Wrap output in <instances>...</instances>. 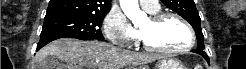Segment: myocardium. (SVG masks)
Returning a JSON list of instances; mask_svg holds the SVG:
<instances>
[{
    "mask_svg": "<svg viewBox=\"0 0 246 69\" xmlns=\"http://www.w3.org/2000/svg\"><path fill=\"white\" fill-rule=\"evenodd\" d=\"M170 18L178 20L184 26V28L186 29L187 34H188L189 43L186 46L181 47V48L164 49V48L151 46L148 43L147 40L142 38L141 39V43L143 44V46L146 49L151 50V51H153L155 53H159V54L174 55V54H178V53H183V52L189 51V50H191L193 48L194 43H195L194 31H193L192 27L190 26V24L182 16H180L179 14H177V13H169V12H167V13H156V14H153L150 17V21L153 24H158V23H161V22H163V21H165L167 19H170Z\"/></svg>",
    "mask_w": 246,
    "mask_h": 69,
    "instance_id": "f54148a6",
    "label": "myocardium"
}]
</instances>
